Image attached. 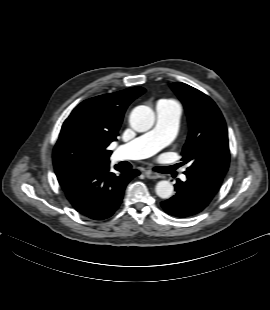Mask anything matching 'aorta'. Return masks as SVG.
Segmentation results:
<instances>
[{"instance_id": "aorta-1", "label": "aorta", "mask_w": 270, "mask_h": 310, "mask_svg": "<svg viewBox=\"0 0 270 310\" xmlns=\"http://www.w3.org/2000/svg\"><path fill=\"white\" fill-rule=\"evenodd\" d=\"M154 112L148 106L134 108L129 116L131 127L137 132H146L154 124ZM156 194L162 199H168L173 195L174 187L169 181H159L155 187Z\"/></svg>"}]
</instances>
